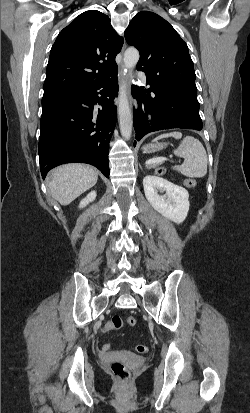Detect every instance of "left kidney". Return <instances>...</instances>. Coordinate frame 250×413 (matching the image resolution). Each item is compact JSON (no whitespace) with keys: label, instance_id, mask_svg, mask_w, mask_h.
<instances>
[{"label":"left kidney","instance_id":"5707ae66","mask_svg":"<svg viewBox=\"0 0 250 413\" xmlns=\"http://www.w3.org/2000/svg\"><path fill=\"white\" fill-rule=\"evenodd\" d=\"M143 187L146 199L162 216L177 224L186 219L190 204L185 188L154 175L143 179Z\"/></svg>","mask_w":250,"mask_h":413}]
</instances>
